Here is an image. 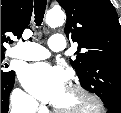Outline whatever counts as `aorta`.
<instances>
[{
	"instance_id": "762f6f07",
	"label": "aorta",
	"mask_w": 121,
	"mask_h": 113,
	"mask_svg": "<svg viewBox=\"0 0 121 113\" xmlns=\"http://www.w3.org/2000/svg\"><path fill=\"white\" fill-rule=\"evenodd\" d=\"M45 21L52 28L61 26L65 21V14L61 9H52L47 12Z\"/></svg>"
}]
</instances>
